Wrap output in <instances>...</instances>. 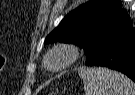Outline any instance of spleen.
<instances>
[{"label": "spleen", "mask_w": 135, "mask_h": 95, "mask_svg": "<svg viewBox=\"0 0 135 95\" xmlns=\"http://www.w3.org/2000/svg\"><path fill=\"white\" fill-rule=\"evenodd\" d=\"M85 95H135V84L119 72L107 68L80 67Z\"/></svg>", "instance_id": "spleen-1"}]
</instances>
